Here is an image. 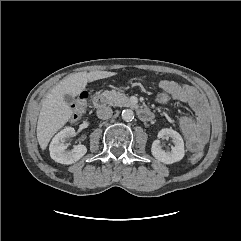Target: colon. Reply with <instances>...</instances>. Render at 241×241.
I'll return each mask as SVG.
<instances>
[{
	"instance_id": "1",
	"label": "colon",
	"mask_w": 241,
	"mask_h": 241,
	"mask_svg": "<svg viewBox=\"0 0 241 241\" xmlns=\"http://www.w3.org/2000/svg\"><path fill=\"white\" fill-rule=\"evenodd\" d=\"M88 99L89 95L87 92H82L79 97L74 101L72 105L73 114H72V121L78 120L86 111L87 105H88ZM155 99L159 104H166L170 102L171 95L163 90L159 89V91L155 94ZM202 155L201 153H196L190 156L189 161L191 163H196L201 159Z\"/></svg>"
}]
</instances>
